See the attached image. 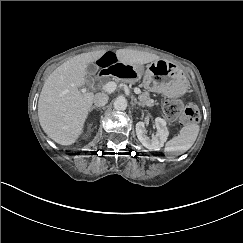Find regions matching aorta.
I'll list each match as a JSON object with an SVG mask.
<instances>
[{"label": "aorta", "mask_w": 243, "mask_h": 243, "mask_svg": "<svg viewBox=\"0 0 243 243\" xmlns=\"http://www.w3.org/2000/svg\"><path fill=\"white\" fill-rule=\"evenodd\" d=\"M114 109L118 111H124L127 108V100L123 96H119L113 103Z\"/></svg>", "instance_id": "obj_1"}]
</instances>
